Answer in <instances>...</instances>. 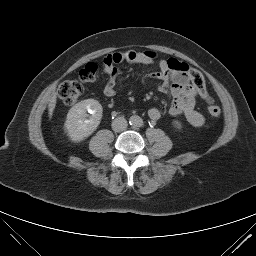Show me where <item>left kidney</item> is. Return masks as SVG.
<instances>
[{"label": "left kidney", "instance_id": "left-kidney-1", "mask_svg": "<svg viewBox=\"0 0 256 256\" xmlns=\"http://www.w3.org/2000/svg\"><path fill=\"white\" fill-rule=\"evenodd\" d=\"M173 124L175 125V127H177L178 129H180L181 128V124H180V122H178V121H173Z\"/></svg>", "mask_w": 256, "mask_h": 256}]
</instances>
